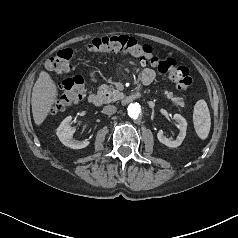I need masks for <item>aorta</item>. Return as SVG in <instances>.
<instances>
[{
	"label": "aorta",
	"mask_w": 238,
	"mask_h": 238,
	"mask_svg": "<svg viewBox=\"0 0 238 238\" xmlns=\"http://www.w3.org/2000/svg\"><path fill=\"white\" fill-rule=\"evenodd\" d=\"M127 111L131 118H137L142 113L141 105L139 103H131L129 104Z\"/></svg>",
	"instance_id": "obj_1"
}]
</instances>
